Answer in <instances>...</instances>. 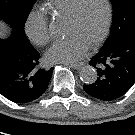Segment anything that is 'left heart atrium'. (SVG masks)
Segmentation results:
<instances>
[{"instance_id":"obj_1","label":"left heart atrium","mask_w":135,"mask_h":135,"mask_svg":"<svg viewBox=\"0 0 135 135\" xmlns=\"http://www.w3.org/2000/svg\"><path fill=\"white\" fill-rule=\"evenodd\" d=\"M89 44L78 35L56 41L45 54L50 63H74L81 60L87 54Z\"/></svg>"}]
</instances>
